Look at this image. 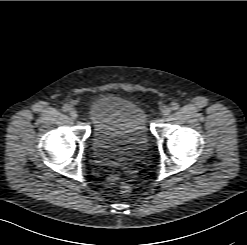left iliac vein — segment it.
I'll return each instance as SVG.
<instances>
[{
    "label": "left iliac vein",
    "instance_id": "1",
    "mask_svg": "<svg viewBox=\"0 0 247 245\" xmlns=\"http://www.w3.org/2000/svg\"><path fill=\"white\" fill-rule=\"evenodd\" d=\"M171 113V108L170 107H166L164 108V110L162 111V117L163 118H167L169 116V114Z\"/></svg>",
    "mask_w": 247,
    "mask_h": 245
}]
</instances>
